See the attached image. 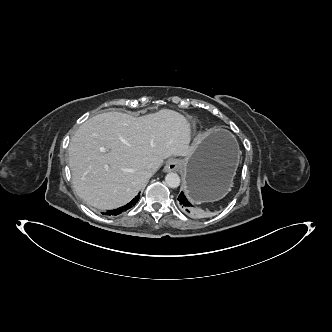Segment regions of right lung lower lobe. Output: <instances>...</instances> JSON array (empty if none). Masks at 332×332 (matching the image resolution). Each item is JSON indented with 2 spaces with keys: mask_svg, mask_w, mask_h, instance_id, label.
<instances>
[{
  "mask_svg": "<svg viewBox=\"0 0 332 332\" xmlns=\"http://www.w3.org/2000/svg\"><path fill=\"white\" fill-rule=\"evenodd\" d=\"M140 198V195H137L131 202H129L127 205L122 206L115 210H108L107 212L103 213L104 215H118L128 209H130L132 206H134Z\"/></svg>",
  "mask_w": 332,
  "mask_h": 332,
  "instance_id": "1",
  "label": "right lung lower lobe"
}]
</instances>
